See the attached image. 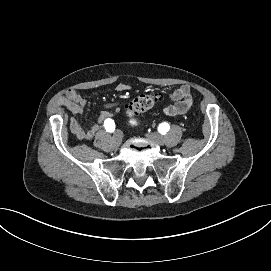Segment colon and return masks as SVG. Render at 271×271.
<instances>
[{
    "label": "colon",
    "mask_w": 271,
    "mask_h": 271,
    "mask_svg": "<svg viewBox=\"0 0 271 271\" xmlns=\"http://www.w3.org/2000/svg\"><path fill=\"white\" fill-rule=\"evenodd\" d=\"M157 94H143L134 98L127 106L126 112L130 116H135L153 108L159 101Z\"/></svg>",
    "instance_id": "obj_1"
}]
</instances>
